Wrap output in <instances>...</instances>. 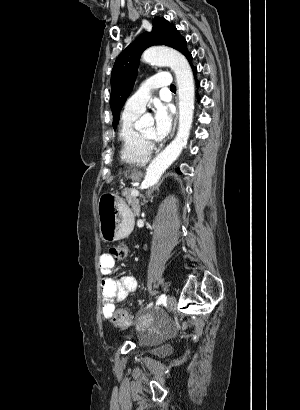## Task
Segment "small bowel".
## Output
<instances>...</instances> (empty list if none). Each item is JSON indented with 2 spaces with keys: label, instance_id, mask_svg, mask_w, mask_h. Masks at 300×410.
I'll use <instances>...</instances> for the list:
<instances>
[{
  "label": "small bowel",
  "instance_id": "small-bowel-1",
  "mask_svg": "<svg viewBox=\"0 0 300 410\" xmlns=\"http://www.w3.org/2000/svg\"><path fill=\"white\" fill-rule=\"evenodd\" d=\"M114 258L103 253L99 257V268L102 274L100 288L103 297L102 314L109 317L115 309L117 303L123 301L125 297L136 290L137 282L134 276L123 273L117 278L112 277L115 267Z\"/></svg>",
  "mask_w": 300,
  "mask_h": 410
}]
</instances>
